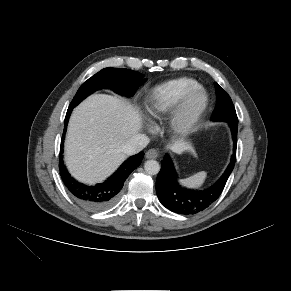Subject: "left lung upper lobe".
<instances>
[{
	"label": "left lung upper lobe",
	"instance_id": "5c2ea615",
	"mask_svg": "<svg viewBox=\"0 0 291 291\" xmlns=\"http://www.w3.org/2000/svg\"><path fill=\"white\" fill-rule=\"evenodd\" d=\"M217 102L216 107L212 113V120H220L221 117H226L238 121L234 105L229 95L215 83Z\"/></svg>",
	"mask_w": 291,
	"mask_h": 291
}]
</instances>
